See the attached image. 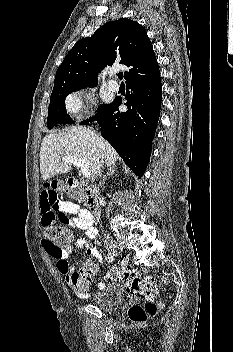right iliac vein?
<instances>
[{
	"instance_id": "obj_1",
	"label": "right iliac vein",
	"mask_w": 233,
	"mask_h": 352,
	"mask_svg": "<svg viewBox=\"0 0 233 352\" xmlns=\"http://www.w3.org/2000/svg\"><path fill=\"white\" fill-rule=\"evenodd\" d=\"M109 254H116L118 252H122L123 251V247L121 245H117V244H113L110 245L108 248Z\"/></svg>"
}]
</instances>
